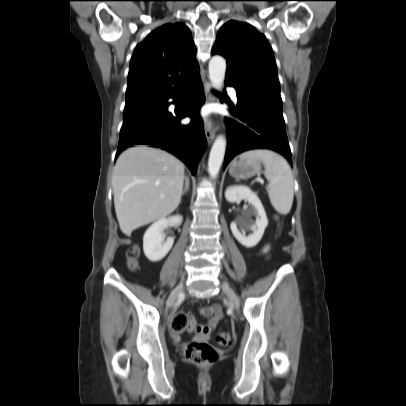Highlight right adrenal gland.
<instances>
[{
  "mask_svg": "<svg viewBox=\"0 0 406 406\" xmlns=\"http://www.w3.org/2000/svg\"><path fill=\"white\" fill-rule=\"evenodd\" d=\"M189 186H190L189 177H186V178H185V187H184V189H183L181 195H184L186 192H188Z\"/></svg>",
  "mask_w": 406,
  "mask_h": 406,
  "instance_id": "1",
  "label": "right adrenal gland"
}]
</instances>
